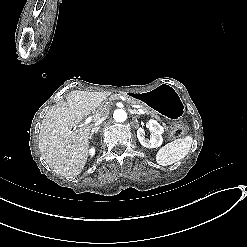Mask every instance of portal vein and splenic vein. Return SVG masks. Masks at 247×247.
<instances>
[{
  "instance_id": "portal-vein-and-splenic-vein-1",
  "label": "portal vein and splenic vein",
  "mask_w": 247,
  "mask_h": 247,
  "mask_svg": "<svg viewBox=\"0 0 247 247\" xmlns=\"http://www.w3.org/2000/svg\"><path fill=\"white\" fill-rule=\"evenodd\" d=\"M137 113L145 114V110H143V109H137ZM92 117H93V114H90V117H88L85 120V124H89L91 122V120H92Z\"/></svg>"
}]
</instances>
